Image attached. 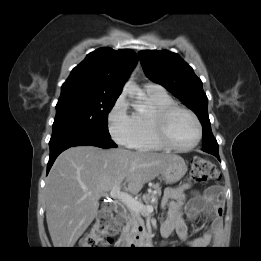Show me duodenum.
<instances>
[{
    "mask_svg": "<svg viewBox=\"0 0 261 261\" xmlns=\"http://www.w3.org/2000/svg\"><path fill=\"white\" fill-rule=\"evenodd\" d=\"M124 214V210L122 208H118V217L112 219L109 224L107 225V228H106V231L105 233H108V235L110 236H113L115 235L121 225H122V216ZM147 243V236L145 233L143 232H140L136 235H134L132 238H131V242H130V245L131 246H138V245H145Z\"/></svg>",
    "mask_w": 261,
    "mask_h": 261,
    "instance_id": "410a0bca",
    "label": "duodenum"
}]
</instances>
